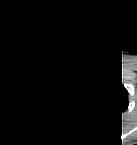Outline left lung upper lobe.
<instances>
[{
    "label": "left lung upper lobe",
    "mask_w": 137,
    "mask_h": 145,
    "mask_svg": "<svg viewBox=\"0 0 137 145\" xmlns=\"http://www.w3.org/2000/svg\"><path fill=\"white\" fill-rule=\"evenodd\" d=\"M82 109L91 117L111 120L127 106V91L117 81L93 69L85 74L73 91Z\"/></svg>",
    "instance_id": "left-lung-upper-lobe-1"
}]
</instances>
